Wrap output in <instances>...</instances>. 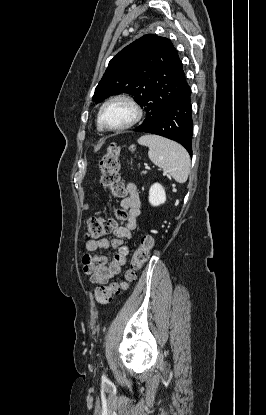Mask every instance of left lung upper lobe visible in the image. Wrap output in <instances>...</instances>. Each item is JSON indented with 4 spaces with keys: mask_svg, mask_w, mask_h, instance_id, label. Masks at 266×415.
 Returning <instances> with one entry per match:
<instances>
[{
    "mask_svg": "<svg viewBox=\"0 0 266 415\" xmlns=\"http://www.w3.org/2000/svg\"><path fill=\"white\" fill-rule=\"evenodd\" d=\"M186 83L183 64L172 42L157 35H144L126 46L108 65L95 89L99 103L119 93L134 96L146 112L142 129L163 113Z\"/></svg>",
    "mask_w": 266,
    "mask_h": 415,
    "instance_id": "5c2ea615",
    "label": "left lung upper lobe"
}]
</instances>
